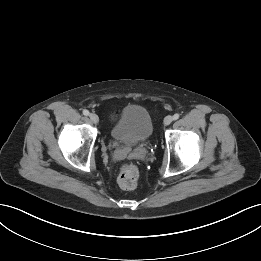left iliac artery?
Instances as JSON below:
<instances>
[{"label": "left iliac artery", "instance_id": "44dca946", "mask_svg": "<svg viewBox=\"0 0 261 261\" xmlns=\"http://www.w3.org/2000/svg\"><path fill=\"white\" fill-rule=\"evenodd\" d=\"M180 117V115L178 113L174 114L173 116V120H177Z\"/></svg>", "mask_w": 261, "mask_h": 261}]
</instances>
